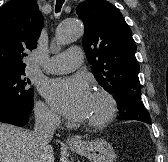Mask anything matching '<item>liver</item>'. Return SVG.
<instances>
[{
    "instance_id": "6515ba94",
    "label": "liver",
    "mask_w": 168,
    "mask_h": 162,
    "mask_svg": "<svg viewBox=\"0 0 168 162\" xmlns=\"http://www.w3.org/2000/svg\"><path fill=\"white\" fill-rule=\"evenodd\" d=\"M52 146L36 151L32 133L0 123V162H54Z\"/></svg>"
}]
</instances>
